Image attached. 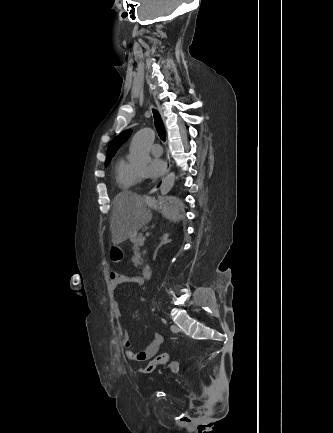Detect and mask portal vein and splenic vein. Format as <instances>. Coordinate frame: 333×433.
<instances>
[{
    "mask_svg": "<svg viewBox=\"0 0 333 433\" xmlns=\"http://www.w3.org/2000/svg\"><path fill=\"white\" fill-rule=\"evenodd\" d=\"M139 242H140V245H143V244H144V238H141V239L139 240Z\"/></svg>",
    "mask_w": 333,
    "mask_h": 433,
    "instance_id": "18ae733b",
    "label": "portal vein and splenic vein"
}]
</instances>
